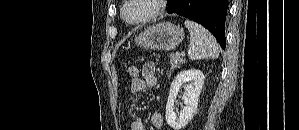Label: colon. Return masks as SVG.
<instances>
[{"label": "colon", "instance_id": "colon-1", "mask_svg": "<svg viewBox=\"0 0 299 130\" xmlns=\"http://www.w3.org/2000/svg\"><path fill=\"white\" fill-rule=\"evenodd\" d=\"M128 74L132 82L137 81L140 78V70L136 65H131L129 67Z\"/></svg>", "mask_w": 299, "mask_h": 130}]
</instances>
